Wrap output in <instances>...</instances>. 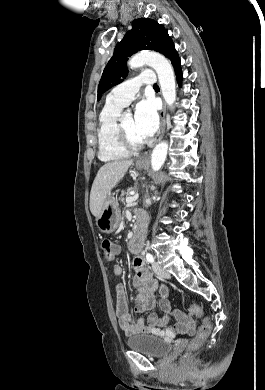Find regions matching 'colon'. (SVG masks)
Instances as JSON below:
<instances>
[{"label": "colon", "mask_w": 265, "mask_h": 390, "mask_svg": "<svg viewBox=\"0 0 265 390\" xmlns=\"http://www.w3.org/2000/svg\"><path fill=\"white\" fill-rule=\"evenodd\" d=\"M100 249L102 251L103 259L105 262L109 263L111 262L115 257V249L114 245L109 239H103L100 242ZM191 314L195 315L196 317H201L203 315V309L196 305L192 304L189 308ZM211 332V325L210 323L205 320L203 324L199 327L196 337L191 342V348L196 349L198 348L210 335Z\"/></svg>", "instance_id": "1"}]
</instances>
